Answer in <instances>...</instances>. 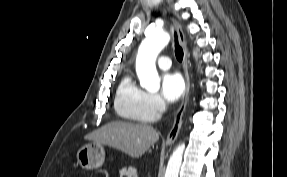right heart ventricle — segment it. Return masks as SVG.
Here are the masks:
<instances>
[{"instance_id": "1", "label": "right heart ventricle", "mask_w": 287, "mask_h": 177, "mask_svg": "<svg viewBox=\"0 0 287 177\" xmlns=\"http://www.w3.org/2000/svg\"><path fill=\"white\" fill-rule=\"evenodd\" d=\"M148 94L126 75L118 85L114 99L117 115L127 121L147 123L155 120L147 105Z\"/></svg>"}]
</instances>
